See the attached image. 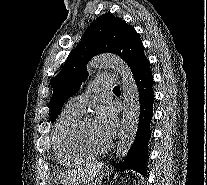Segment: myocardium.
Here are the masks:
<instances>
[{
	"label": "myocardium",
	"mask_w": 207,
	"mask_h": 185,
	"mask_svg": "<svg viewBox=\"0 0 207 185\" xmlns=\"http://www.w3.org/2000/svg\"><path fill=\"white\" fill-rule=\"evenodd\" d=\"M83 124L84 121L80 122L76 130V137L81 147L94 156L101 155L109 151L112 146V140L108 139L102 148H96L90 139L86 136L83 129Z\"/></svg>",
	"instance_id": "1"
}]
</instances>
